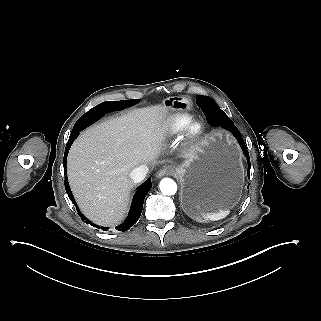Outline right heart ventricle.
Returning <instances> with one entry per match:
<instances>
[{"label": "right heart ventricle", "mask_w": 321, "mask_h": 321, "mask_svg": "<svg viewBox=\"0 0 321 321\" xmlns=\"http://www.w3.org/2000/svg\"><path fill=\"white\" fill-rule=\"evenodd\" d=\"M192 117L193 115L189 111L176 110L169 112L154 125L150 134L152 142L164 141L178 133Z\"/></svg>", "instance_id": "1"}]
</instances>
